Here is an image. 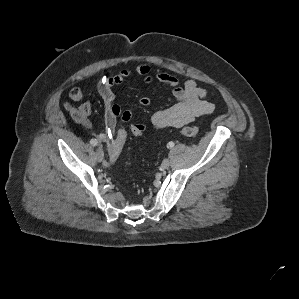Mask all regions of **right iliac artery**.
<instances>
[{"label":"right iliac artery","mask_w":299,"mask_h":299,"mask_svg":"<svg viewBox=\"0 0 299 299\" xmlns=\"http://www.w3.org/2000/svg\"><path fill=\"white\" fill-rule=\"evenodd\" d=\"M97 140L96 139H91L90 140V144L92 145V146H96L97 145Z\"/></svg>","instance_id":"1"}]
</instances>
